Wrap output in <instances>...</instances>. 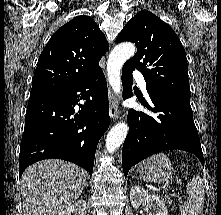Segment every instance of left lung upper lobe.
<instances>
[{
	"mask_svg": "<svg viewBox=\"0 0 221 215\" xmlns=\"http://www.w3.org/2000/svg\"><path fill=\"white\" fill-rule=\"evenodd\" d=\"M116 41L136 44L137 53L123 68L139 70L147 90L190 100L186 53L168 24L153 13L142 10L130 19Z\"/></svg>",
	"mask_w": 221,
	"mask_h": 215,
	"instance_id": "obj_1",
	"label": "left lung upper lobe"
}]
</instances>
